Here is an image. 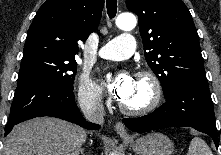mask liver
<instances>
[{
    "instance_id": "liver-1",
    "label": "liver",
    "mask_w": 221,
    "mask_h": 155,
    "mask_svg": "<svg viewBox=\"0 0 221 155\" xmlns=\"http://www.w3.org/2000/svg\"><path fill=\"white\" fill-rule=\"evenodd\" d=\"M86 131L64 120L43 117L23 122L6 137L3 155H79Z\"/></svg>"
}]
</instances>
